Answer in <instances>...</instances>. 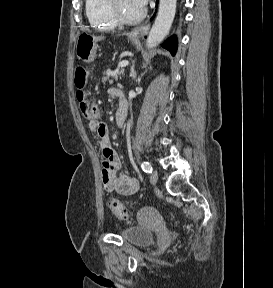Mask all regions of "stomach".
Here are the masks:
<instances>
[{"instance_id":"1","label":"stomach","mask_w":273,"mask_h":288,"mask_svg":"<svg viewBox=\"0 0 273 288\" xmlns=\"http://www.w3.org/2000/svg\"><path fill=\"white\" fill-rule=\"evenodd\" d=\"M97 41V37L87 33H82L78 37L76 43L75 52L77 57L85 62L90 61L95 54V50L97 48Z\"/></svg>"}]
</instances>
